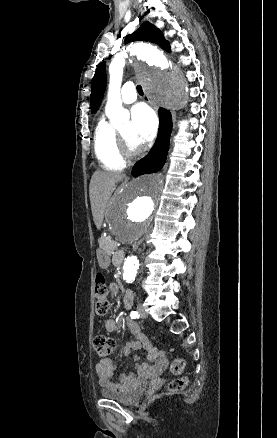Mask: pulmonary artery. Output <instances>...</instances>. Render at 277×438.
<instances>
[{
    "label": "pulmonary artery",
    "instance_id": "1",
    "mask_svg": "<svg viewBox=\"0 0 277 438\" xmlns=\"http://www.w3.org/2000/svg\"><path fill=\"white\" fill-rule=\"evenodd\" d=\"M122 96L118 100H112L107 105V110L110 109L115 103L131 104L136 100V88L133 81H126L123 83Z\"/></svg>",
    "mask_w": 277,
    "mask_h": 438
}]
</instances>
